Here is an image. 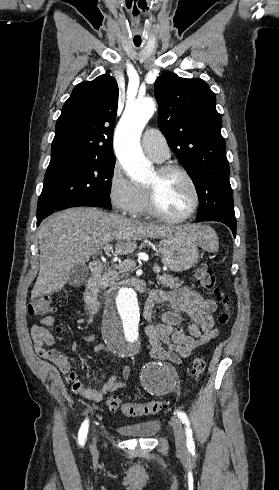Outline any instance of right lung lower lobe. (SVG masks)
Wrapping results in <instances>:
<instances>
[{"label": "right lung lower lobe", "mask_w": 279, "mask_h": 490, "mask_svg": "<svg viewBox=\"0 0 279 490\" xmlns=\"http://www.w3.org/2000/svg\"><path fill=\"white\" fill-rule=\"evenodd\" d=\"M76 206L102 207V206L96 204L95 202H92V201H89V200H75V201L66 202V203H63V204H61V205L53 208L50 213H48V214H46L44 216H41V217H37V226L40 224V222L44 218H46L47 216H49L53 212L60 211V210H63V209H66V208H70V207H76Z\"/></svg>", "instance_id": "obj_1"}]
</instances>
